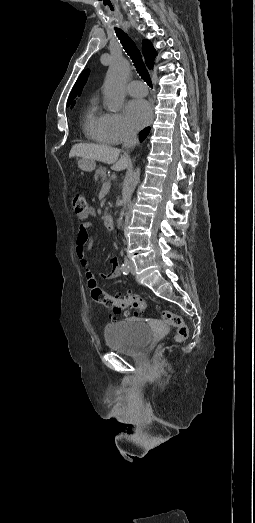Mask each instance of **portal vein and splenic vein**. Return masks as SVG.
<instances>
[{"label": "portal vein and splenic vein", "mask_w": 255, "mask_h": 523, "mask_svg": "<svg viewBox=\"0 0 255 523\" xmlns=\"http://www.w3.org/2000/svg\"><path fill=\"white\" fill-rule=\"evenodd\" d=\"M109 192H112V187L110 186L109 182H105L102 186V190L98 192V195L100 197H107Z\"/></svg>", "instance_id": "18ae733b"}]
</instances>
